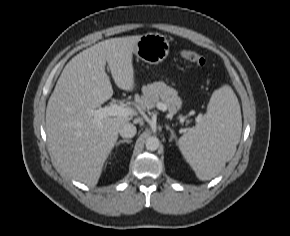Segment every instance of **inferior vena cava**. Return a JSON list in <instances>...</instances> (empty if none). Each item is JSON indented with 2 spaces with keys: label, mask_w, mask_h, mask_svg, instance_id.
<instances>
[{
  "label": "inferior vena cava",
  "mask_w": 290,
  "mask_h": 236,
  "mask_svg": "<svg viewBox=\"0 0 290 236\" xmlns=\"http://www.w3.org/2000/svg\"><path fill=\"white\" fill-rule=\"evenodd\" d=\"M119 133L123 138H132L136 134V127L131 123H125L120 127Z\"/></svg>",
  "instance_id": "602c4592"
}]
</instances>
